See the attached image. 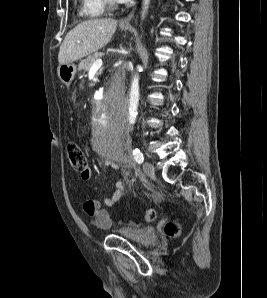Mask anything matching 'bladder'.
<instances>
[{
	"instance_id": "bladder-1",
	"label": "bladder",
	"mask_w": 267,
	"mask_h": 298,
	"mask_svg": "<svg viewBox=\"0 0 267 298\" xmlns=\"http://www.w3.org/2000/svg\"><path fill=\"white\" fill-rule=\"evenodd\" d=\"M124 230H127V232L121 230L118 231V235L141 246L147 247L154 245L158 240L156 230L150 226L126 228Z\"/></svg>"
}]
</instances>
